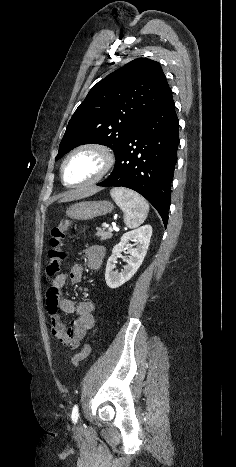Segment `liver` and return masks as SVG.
Masks as SVG:
<instances>
[{
    "mask_svg": "<svg viewBox=\"0 0 236 467\" xmlns=\"http://www.w3.org/2000/svg\"><path fill=\"white\" fill-rule=\"evenodd\" d=\"M100 189L96 187H82L80 189L68 192L62 196L59 202H70L78 200L97 193Z\"/></svg>",
    "mask_w": 236,
    "mask_h": 467,
    "instance_id": "1",
    "label": "liver"
}]
</instances>
